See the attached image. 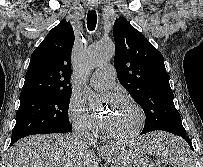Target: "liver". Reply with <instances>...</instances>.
I'll return each instance as SVG.
<instances>
[{"instance_id":"6515ba94","label":"liver","mask_w":203,"mask_h":167,"mask_svg":"<svg viewBox=\"0 0 203 167\" xmlns=\"http://www.w3.org/2000/svg\"><path fill=\"white\" fill-rule=\"evenodd\" d=\"M124 149L111 145L103 151L113 164ZM88 147L78 146L71 135H32L16 142L8 151L6 167H98Z\"/></svg>"}]
</instances>
